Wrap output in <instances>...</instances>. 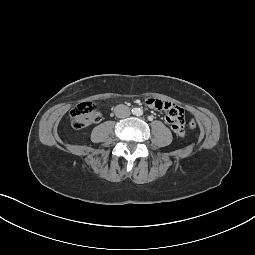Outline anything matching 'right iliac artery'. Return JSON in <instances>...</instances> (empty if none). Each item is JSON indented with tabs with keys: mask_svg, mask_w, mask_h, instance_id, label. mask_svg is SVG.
I'll return each mask as SVG.
<instances>
[{
	"mask_svg": "<svg viewBox=\"0 0 255 255\" xmlns=\"http://www.w3.org/2000/svg\"><path fill=\"white\" fill-rule=\"evenodd\" d=\"M132 112H134V113H135V112H136V110H132Z\"/></svg>",
	"mask_w": 255,
	"mask_h": 255,
	"instance_id": "1",
	"label": "right iliac artery"
}]
</instances>
